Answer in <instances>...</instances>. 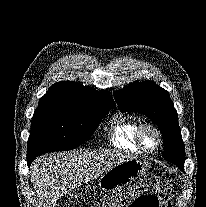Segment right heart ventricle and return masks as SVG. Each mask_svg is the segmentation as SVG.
Instances as JSON below:
<instances>
[{
  "label": "right heart ventricle",
  "instance_id": "obj_1",
  "mask_svg": "<svg viewBox=\"0 0 206 207\" xmlns=\"http://www.w3.org/2000/svg\"><path fill=\"white\" fill-rule=\"evenodd\" d=\"M139 125V121L133 118H115L110 128V142L112 146L123 151L143 152L136 143L135 138Z\"/></svg>",
  "mask_w": 206,
  "mask_h": 207
}]
</instances>
